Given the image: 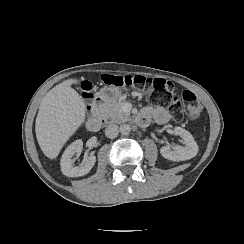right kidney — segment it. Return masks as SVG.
I'll return each mask as SVG.
<instances>
[{
  "mask_svg": "<svg viewBox=\"0 0 244 244\" xmlns=\"http://www.w3.org/2000/svg\"><path fill=\"white\" fill-rule=\"evenodd\" d=\"M83 149V142L77 140L72 143L64 152L61 159V169L67 177H82L88 174L96 162V156L90 155L85 158L84 166H74L75 154L80 153Z\"/></svg>",
  "mask_w": 244,
  "mask_h": 244,
  "instance_id": "ca27d5eb",
  "label": "right kidney"
}]
</instances>
